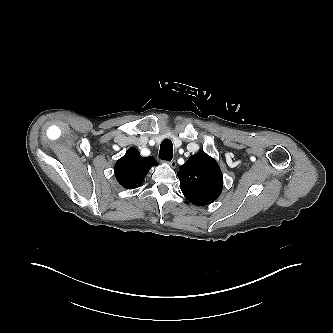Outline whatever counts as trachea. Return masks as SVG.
Returning <instances> with one entry per match:
<instances>
[{"label": "trachea", "mask_w": 333, "mask_h": 333, "mask_svg": "<svg viewBox=\"0 0 333 333\" xmlns=\"http://www.w3.org/2000/svg\"><path fill=\"white\" fill-rule=\"evenodd\" d=\"M173 157V144L171 140L165 139L162 141L159 150V158L161 160L170 161Z\"/></svg>", "instance_id": "3493384b"}]
</instances>
